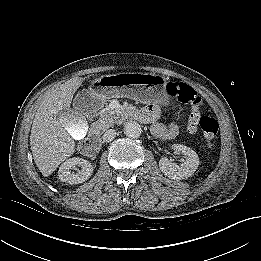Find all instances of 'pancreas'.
<instances>
[{"instance_id":"1","label":"pancreas","mask_w":261,"mask_h":261,"mask_svg":"<svg viewBox=\"0 0 261 261\" xmlns=\"http://www.w3.org/2000/svg\"><path fill=\"white\" fill-rule=\"evenodd\" d=\"M118 115L115 112L110 111L103 113L100 118L93 124V129L100 133L101 131L107 130L111 127Z\"/></svg>"}]
</instances>
